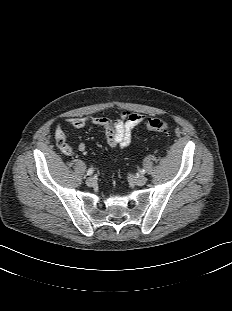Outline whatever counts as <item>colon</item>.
<instances>
[{"instance_id": "5ec220e1", "label": "colon", "mask_w": 232, "mask_h": 311, "mask_svg": "<svg viewBox=\"0 0 232 311\" xmlns=\"http://www.w3.org/2000/svg\"><path fill=\"white\" fill-rule=\"evenodd\" d=\"M145 127L148 131L156 133H169L168 123L161 118H151L145 123Z\"/></svg>"}]
</instances>
